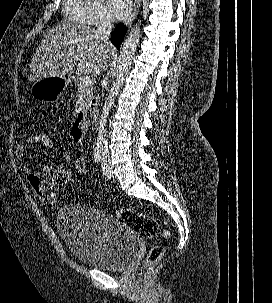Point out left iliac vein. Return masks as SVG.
I'll return each mask as SVG.
<instances>
[{
	"label": "left iliac vein",
	"mask_w": 272,
	"mask_h": 303,
	"mask_svg": "<svg viewBox=\"0 0 272 303\" xmlns=\"http://www.w3.org/2000/svg\"><path fill=\"white\" fill-rule=\"evenodd\" d=\"M101 166H102V171H103L104 176L111 179L113 177V175L111 172V166H110L109 159L103 158Z\"/></svg>",
	"instance_id": "left-iliac-vein-1"
}]
</instances>
